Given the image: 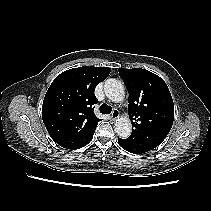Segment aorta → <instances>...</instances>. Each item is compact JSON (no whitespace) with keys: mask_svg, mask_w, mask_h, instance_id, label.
<instances>
[{"mask_svg":"<svg viewBox=\"0 0 211 211\" xmlns=\"http://www.w3.org/2000/svg\"><path fill=\"white\" fill-rule=\"evenodd\" d=\"M104 92L108 99L113 102H121L125 96V89L121 81L110 78L105 81ZM115 133L120 138H128L132 132V124L128 117H121L114 124Z\"/></svg>","mask_w":211,"mask_h":211,"instance_id":"1","label":"aorta"}]
</instances>
